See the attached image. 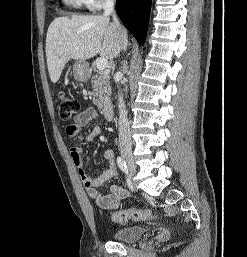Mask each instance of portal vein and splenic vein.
I'll use <instances>...</instances> for the list:
<instances>
[{
  "mask_svg": "<svg viewBox=\"0 0 247 257\" xmlns=\"http://www.w3.org/2000/svg\"><path fill=\"white\" fill-rule=\"evenodd\" d=\"M96 67L102 71L105 70L108 67V60L106 58H98L96 60Z\"/></svg>",
  "mask_w": 247,
  "mask_h": 257,
  "instance_id": "portal-vein-and-splenic-vein-1",
  "label": "portal vein and splenic vein"
}]
</instances>
